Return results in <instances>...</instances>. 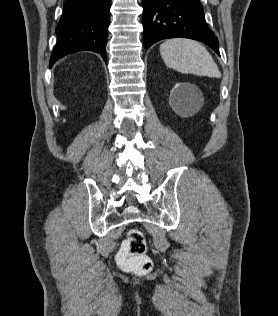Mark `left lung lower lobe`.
<instances>
[{
  "label": "left lung lower lobe",
  "instance_id": "obj_1",
  "mask_svg": "<svg viewBox=\"0 0 278 316\" xmlns=\"http://www.w3.org/2000/svg\"><path fill=\"white\" fill-rule=\"evenodd\" d=\"M144 48L168 38H190L208 45L218 55L219 44L208 28L199 0H142Z\"/></svg>",
  "mask_w": 278,
  "mask_h": 316
}]
</instances>
